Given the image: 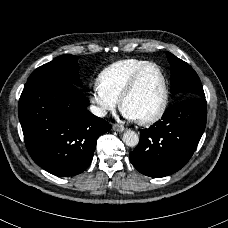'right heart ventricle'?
<instances>
[{
    "instance_id": "right-heart-ventricle-1",
    "label": "right heart ventricle",
    "mask_w": 228,
    "mask_h": 228,
    "mask_svg": "<svg viewBox=\"0 0 228 228\" xmlns=\"http://www.w3.org/2000/svg\"><path fill=\"white\" fill-rule=\"evenodd\" d=\"M149 63L151 61L136 58L113 62L100 71L97 85L101 92L119 101L134 74Z\"/></svg>"
}]
</instances>
